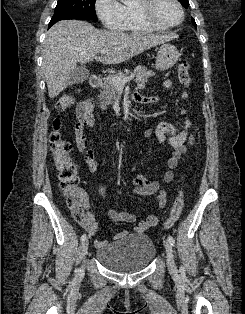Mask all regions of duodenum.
I'll return each mask as SVG.
<instances>
[{
	"label": "duodenum",
	"instance_id": "duodenum-1",
	"mask_svg": "<svg viewBox=\"0 0 245 314\" xmlns=\"http://www.w3.org/2000/svg\"><path fill=\"white\" fill-rule=\"evenodd\" d=\"M101 82H102V80H101L100 76H98L96 74L91 75L89 78L90 86L93 88H99L101 85Z\"/></svg>",
	"mask_w": 245,
	"mask_h": 314
}]
</instances>
